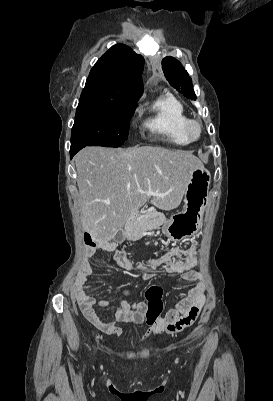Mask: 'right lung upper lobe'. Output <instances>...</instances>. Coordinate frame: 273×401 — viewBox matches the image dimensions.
<instances>
[{
    "instance_id": "obj_1",
    "label": "right lung upper lobe",
    "mask_w": 273,
    "mask_h": 401,
    "mask_svg": "<svg viewBox=\"0 0 273 401\" xmlns=\"http://www.w3.org/2000/svg\"><path fill=\"white\" fill-rule=\"evenodd\" d=\"M144 58L123 44L112 46L93 66L81 98L121 101L135 105L143 92Z\"/></svg>"
}]
</instances>
